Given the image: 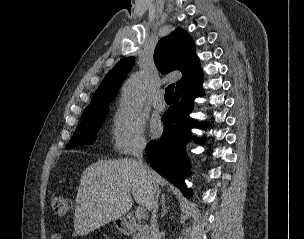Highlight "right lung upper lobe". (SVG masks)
<instances>
[{"mask_svg":"<svg viewBox=\"0 0 304 239\" xmlns=\"http://www.w3.org/2000/svg\"><path fill=\"white\" fill-rule=\"evenodd\" d=\"M154 62L162 73L173 70L183 73V77L176 84V90L202 74L194 41L182 28H177L158 42ZM133 64V57L120 60L105 76L84 113L108 105L116 97Z\"/></svg>","mask_w":304,"mask_h":239,"instance_id":"cb5924a9","label":"right lung upper lobe"}]
</instances>
